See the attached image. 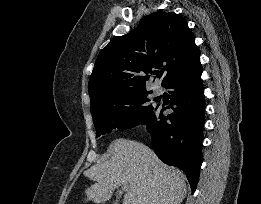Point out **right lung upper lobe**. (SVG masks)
I'll use <instances>...</instances> for the list:
<instances>
[{"instance_id": "cb5924a9", "label": "right lung upper lobe", "mask_w": 261, "mask_h": 204, "mask_svg": "<svg viewBox=\"0 0 261 204\" xmlns=\"http://www.w3.org/2000/svg\"><path fill=\"white\" fill-rule=\"evenodd\" d=\"M200 51L186 20L157 12L143 18L136 29L114 38L99 54L89 79L91 107L118 95L146 90L149 73L163 74L162 85L199 59Z\"/></svg>"}]
</instances>
